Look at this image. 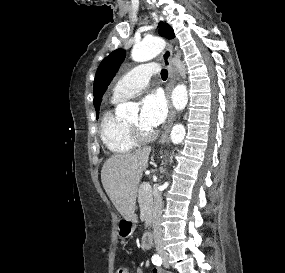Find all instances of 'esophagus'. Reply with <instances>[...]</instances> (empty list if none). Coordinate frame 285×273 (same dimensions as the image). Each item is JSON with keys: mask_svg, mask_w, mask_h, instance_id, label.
I'll return each mask as SVG.
<instances>
[{"mask_svg": "<svg viewBox=\"0 0 285 273\" xmlns=\"http://www.w3.org/2000/svg\"><path fill=\"white\" fill-rule=\"evenodd\" d=\"M172 55H173V49L171 44H168L167 47L163 50L161 58L164 63V65L167 67L168 72H169V82L166 88V93H167V98L169 101V117L166 125V130L164 134L161 137L160 144H164L168 138V133L170 131V127L172 126L176 113L173 110L172 104L170 102V94L171 90L174 87V84L176 82V69L174 68L172 64Z\"/></svg>", "mask_w": 285, "mask_h": 273, "instance_id": "34e87169", "label": "esophagus"}]
</instances>
